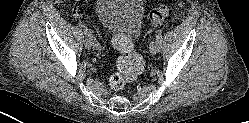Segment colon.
<instances>
[{
	"label": "colon",
	"mask_w": 249,
	"mask_h": 123,
	"mask_svg": "<svg viewBox=\"0 0 249 123\" xmlns=\"http://www.w3.org/2000/svg\"><path fill=\"white\" fill-rule=\"evenodd\" d=\"M168 14V8L160 4L149 13V19L152 23H160ZM114 47L120 52L117 59V71L109 78V85L113 90H121L126 84L135 80L144 69L143 58L134 51L131 40L126 36H118Z\"/></svg>",
	"instance_id": "obj_1"
}]
</instances>
